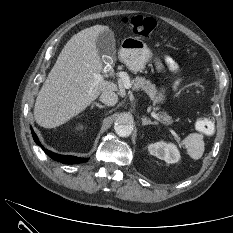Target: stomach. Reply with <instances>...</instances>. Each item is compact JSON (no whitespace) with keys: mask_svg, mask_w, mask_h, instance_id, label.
Masks as SVG:
<instances>
[{"mask_svg":"<svg viewBox=\"0 0 233 233\" xmlns=\"http://www.w3.org/2000/svg\"><path fill=\"white\" fill-rule=\"evenodd\" d=\"M151 56L152 52L146 43L138 38L128 37L121 43L119 57L131 71L143 70ZM164 98V91H162L159 93L157 101H163Z\"/></svg>","mask_w":233,"mask_h":233,"instance_id":"stomach-1","label":"stomach"}]
</instances>
